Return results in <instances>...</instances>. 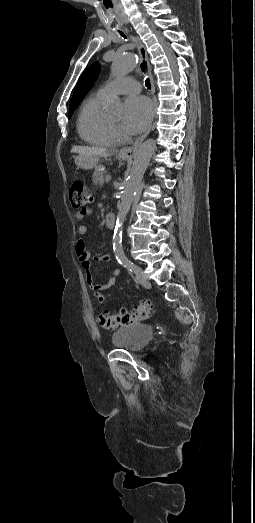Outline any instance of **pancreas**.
<instances>
[{"instance_id": "obj_1", "label": "pancreas", "mask_w": 255, "mask_h": 523, "mask_svg": "<svg viewBox=\"0 0 255 523\" xmlns=\"http://www.w3.org/2000/svg\"><path fill=\"white\" fill-rule=\"evenodd\" d=\"M104 174H106L104 166H101V168H95L93 174V184H95V186H102L104 182Z\"/></svg>"}]
</instances>
